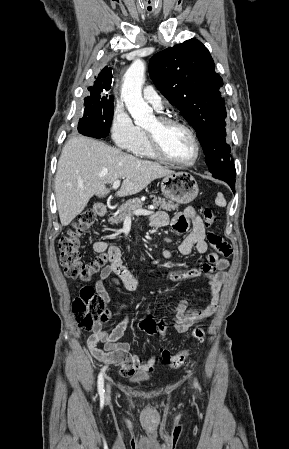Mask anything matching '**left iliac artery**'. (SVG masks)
<instances>
[{"mask_svg": "<svg viewBox=\"0 0 289 449\" xmlns=\"http://www.w3.org/2000/svg\"><path fill=\"white\" fill-rule=\"evenodd\" d=\"M194 385H195V387H196V388H198V387H199V385H198L197 381H195Z\"/></svg>", "mask_w": 289, "mask_h": 449, "instance_id": "obj_1", "label": "left iliac artery"}]
</instances>
